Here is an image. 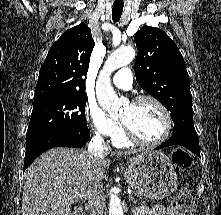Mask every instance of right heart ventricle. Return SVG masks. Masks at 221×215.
Wrapping results in <instances>:
<instances>
[{"mask_svg":"<svg viewBox=\"0 0 221 215\" xmlns=\"http://www.w3.org/2000/svg\"><path fill=\"white\" fill-rule=\"evenodd\" d=\"M113 142L118 147H126L129 145V141L124 136V133L122 131L116 137L113 138Z\"/></svg>","mask_w":221,"mask_h":215,"instance_id":"obj_1","label":"right heart ventricle"}]
</instances>
